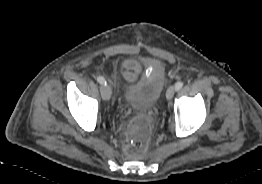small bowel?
Segmentation results:
<instances>
[{
    "instance_id": "obj_1",
    "label": "small bowel",
    "mask_w": 262,
    "mask_h": 184,
    "mask_svg": "<svg viewBox=\"0 0 262 184\" xmlns=\"http://www.w3.org/2000/svg\"><path fill=\"white\" fill-rule=\"evenodd\" d=\"M125 68H126L125 74H126L127 77L130 78V77L134 76V73L136 71H138L139 66L135 61L128 60V61L125 62Z\"/></svg>"
}]
</instances>
